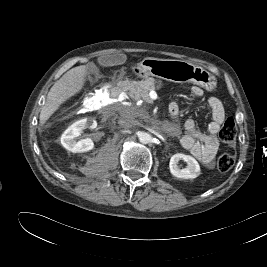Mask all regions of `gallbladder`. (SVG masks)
Segmentation results:
<instances>
[{"mask_svg":"<svg viewBox=\"0 0 267 267\" xmlns=\"http://www.w3.org/2000/svg\"><path fill=\"white\" fill-rule=\"evenodd\" d=\"M119 57H123V56L119 55ZM116 62H118V59H116V57L102 56V57L99 58V64H100L101 66H103V67H104V66H110V65H113V64H115ZM87 69H88V71L91 72V73H95V70H96L95 65H94L93 63H89V64L87 65Z\"/></svg>","mask_w":267,"mask_h":267,"instance_id":"bac80fb5","label":"gallbladder"}]
</instances>
